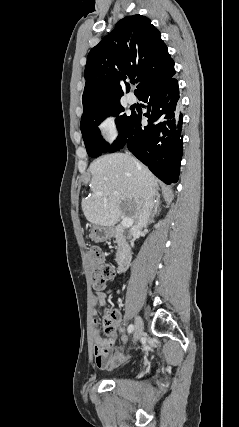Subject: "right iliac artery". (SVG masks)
<instances>
[{"label": "right iliac artery", "mask_w": 239, "mask_h": 427, "mask_svg": "<svg viewBox=\"0 0 239 427\" xmlns=\"http://www.w3.org/2000/svg\"><path fill=\"white\" fill-rule=\"evenodd\" d=\"M133 330H134V325H133V324H130V325L128 326V333H132V332H133Z\"/></svg>", "instance_id": "obj_1"}]
</instances>
